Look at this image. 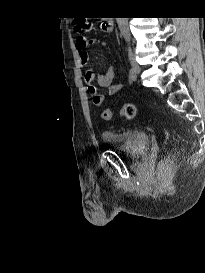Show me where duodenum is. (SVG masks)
I'll return each instance as SVG.
<instances>
[{
    "label": "duodenum",
    "instance_id": "duodenum-1",
    "mask_svg": "<svg viewBox=\"0 0 205 273\" xmlns=\"http://www.w3.org/2000/svg\"><path fill=\"white\" fill-rule=\"evenodd\" d=\"M113 27V20L111 18H108L104 23H103V30L106 32H109L112 30Z\"/></svg>",
    "mask_w": 205,
    "mask_h": 273
}]
</instances>
